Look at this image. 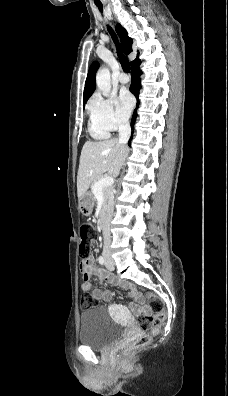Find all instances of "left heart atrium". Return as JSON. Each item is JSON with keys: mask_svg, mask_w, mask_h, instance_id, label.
I'll return each mask as SVG.
<instances>
[{"mask_svg": "<svg viewBox=\"0 0 228 396\" xmlns=\"http://www.w3.org/2000/svg\"><path fill=\"white\" fill-rule=\"evenodd\" d=\"M116 105L119 114L127 118L134 106L133 96L127 90H122L116 99Z\"/></svg>", "mask_w": 228, "mask_h": 396, "instance_id": "1", "label": "left heart atrium"}]
</instances>
